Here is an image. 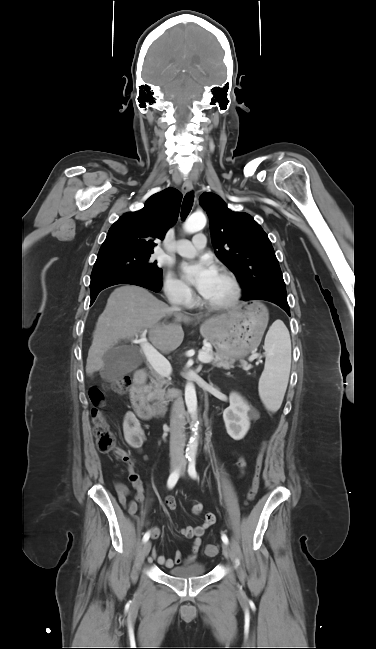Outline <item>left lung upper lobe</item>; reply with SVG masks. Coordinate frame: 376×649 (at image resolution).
I'll return each mask as SVG.
<instances>
[{
    "label": "left lung upper lobe",
    "mask_w": 376,
    "mask_h": 649,
    "mask_svg": "<svg viewBox=\"0 0 376 649\" xmlns=\"http://www.w3.org/2000/svg\"><path fill=\"white\" fill-rule=\"evenodd\" d=\"M199 202L210 218L216 256L238 273L243 300L261 293L287 299L282 272L269 238L247 213L229 210L216 194L204 192Z\"/></svg>",
    "instance_id": "obj_1"
}]
</instances>
